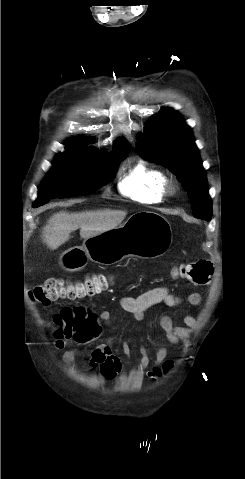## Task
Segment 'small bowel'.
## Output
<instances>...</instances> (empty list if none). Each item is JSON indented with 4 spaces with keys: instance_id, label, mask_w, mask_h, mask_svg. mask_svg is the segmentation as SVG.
Wrapping results in <instances>:
<instances>
[{
    "instance_id": "1",
    "label": "small bowel",
    "mask_w": 245,
    "mask_h": 479,
    "mask_svg": "<svg viewBox=\"0 0 245 479\" xmlns=\"http://www.w3.org/2000/svg\"><path fill=\"white\" fill-rule=\"evenodd\" d=\"M201 295L198 292H192L184 297L176 295L171 292L168 287H157L148 290L138 296L125 295L120 299V305L124 312L129 314L133 319L141 321L144 318L145 311L153 305L164 304L169 307H177L183 304L192 306L199 305L201 303ZM111 321V314L107 310L99 312L98 317L91 315L84 330L83 335L91 337L96 335L101 330V324H109ZM183 322L186 327L176 326L172 318L168 315H163L160 318V326L165 332L166 339L169 343L177 345L181 338H183L187 332V328H192L196 325L195 317L184 311ZM66 346V341L62 338L56 337L54 342V348L56 350H62ZM122 352L126 357L130 356V346L127 342L122 343ZM141 358L139 362V369L145 370L149 364L150 359L147 349L144 346L140 347ZM76 350L70 349L63 354V360L65 364L72 365L75 359ZM168 350L164 345H160L155 354V362L148 371V376L160 377L162 375V369L166 363ZM90 365L92 368H99L100 376L107 380L113 381L120 373L122 364L120 358L113 353L112 341L107 339L106 342L100 344L90 354Z\"/></svg>"
}]
</instances>
